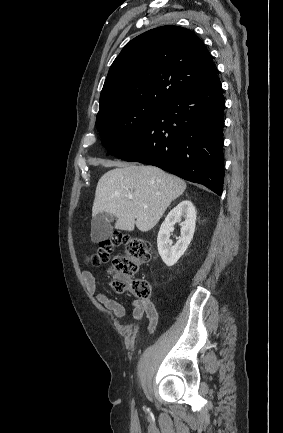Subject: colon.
<instances>
[{"instance_id":"obj_1","label":"colon","mask_w":283,"mask_h":433,"mask_svg":"<svg viewBox=\"0 0 283 433\" xmlns=\"http://www.w3.org/2000/svg\"><path fill=\"white\" fill-rule=\"evenodd\" d=\"M123 245L125 253L116 256L112 261L111 270L115 273L113 287L122 292L128 290L139 299L150 296L151 285L144 279H134L130 283L127 279L134 276L140 267L151 259V245L148 241L129 237L116 232L110 238L99 242L95 252L88 256V262L94 266L107 263L116 246Z\"/></svg>"}]
</instances>
